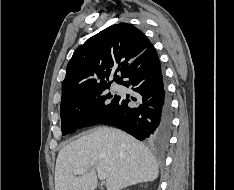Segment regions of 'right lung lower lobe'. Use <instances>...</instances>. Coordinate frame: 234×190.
I'll return each mask as SVG.
<instances>
[{
  "label": "right lung lower lobe",
  "mask_w": 234,
  "mask_h": 190,
  "mask_svg": "<svg viewBox=\"0 0 234 190\" xmlns=\"http://www.w3.org/2000/svg\"><path fill=\"white\" fill-rule=\"evenodd\" d=\"M118 83L131 87L137 96H119L117 106L99 123L116 126L138 140L165 145L170 134L171 110L153 45L126 68ZM132 102L135 103L129 104Z\"/></svg>",
  "instance_id": "obj_1"
}]
</instances>
